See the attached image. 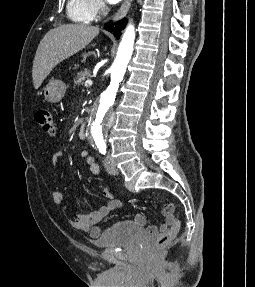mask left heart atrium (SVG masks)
Here are the masks:
<instances>
[{
	"mask_svg": "<svg viewBox=\"0 0 255 287\" xmlns=\"http://www.w3.org/2000/svg\"><path fill=\"white\" fill-rule=\"evenodd\" d=\"M74 33H85V32H74ZM73 39H86V38H73ZM80 48H85V47H80Z\"/></svg>",
	"mask_w": 255,
	"mask_h": 287,
	"instance_id": "obj_1",
	"label": "left heart atrium"
}]
</instances>
